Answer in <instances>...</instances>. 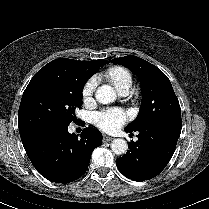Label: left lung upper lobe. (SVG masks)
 Segmentation results:
<instances>
[{
	"instance_id": "1",
	"label": "left lung upper lobe",
	"mask_w": 209,
	"mask_h": 209,
	"mask_svg": "<svg viewBox=\"0 0 209 209\" xmlns=\"http://www.w3.org/2000/svg\"><path fill=\"white\" fill-rule=\"evenodd\" d=\"M111 62L132 70L142 88L138 117L125 130L139 131L148 127L181 126V109L168 77L153 64L137 56L112 59Z\"/></svg>"
}]
</instances>
